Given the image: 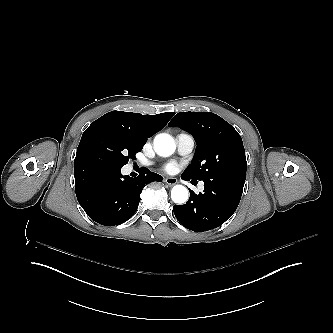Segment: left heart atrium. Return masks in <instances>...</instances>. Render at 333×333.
Returning <instances> with one entry per match:
<instances>
[{
    "mask_svg": "<svg viewBox=\"0 0 333 333\" xmlns=\"http://www.w3.org/2000/svg\"><path fill=\"white\" fill-rule=\"evenodd\" d=\"M178 170V165L174 162L169 163L166 167H165V171L169 174H174L176 173Z\"/></svg>",
    "mask_w": 333,
    "mask_h": 333,
    "instance_id": "1",
    "label": "left heart atrium"
}]
</instances>
